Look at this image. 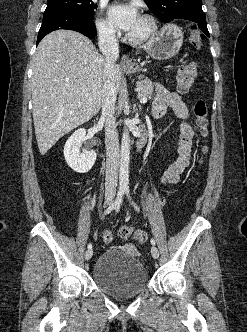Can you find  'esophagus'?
<instances>
[{
  "label": "esophagus",
  "instance_id": "obj_1",
  "mask_svg": "<svg viewBox=\"0 0 247 332\" xmlns=\"http://www.w3.org/2000/svg\"><path fill=\"white\" fill-rule=\"evenodd\" d=\"M132 65H133L132 59L129 57L128 54H124L121 58V66L127 67Z\"/></svg>",
  "mask_w": 247,
  "mask_h": 332
}]
</instances>
